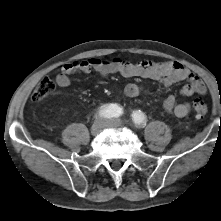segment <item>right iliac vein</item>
<instances>
[{
  "label": "right iliac vein",
  "instance_id": "obj_1",
  "mask_svg": "<svg viewBox=\"0 0 221 221\" xmlns=\"http://www.w3.org/2000/svg\"><path fill=\"white\" fill-rule=\"evenodd\" d=\"M107 120L103 118H98L94 121V123L91 126V133L92 135H98L101 130L106 126Z\"/></svg>",
  "mask_w": 221,
  "mask_h": 221
}]
</instances>
